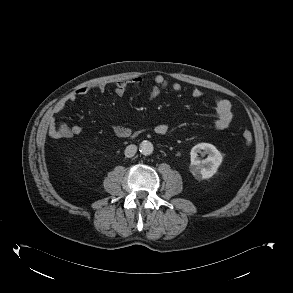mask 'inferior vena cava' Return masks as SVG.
<instances>
[{"label": "inferior vena cava", "instance_id": "1", "mask_svg": "<svg viewBox=\"0 0 293 293\" xmlns=\"http://www.w3.org/2000/svg\"><path fill=\"white\" fill-rule=\"evenodd\" d=\"M137 152V146L134 144L128 145L124 151L126 157L131 158Z\"/></svg>", "mask_w": 293, "mask_h": 293}]
</instances>
